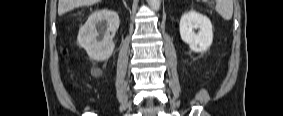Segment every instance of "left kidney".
Instances as JSON below:
<instances>
[{
  "label": "left kidney",
  "instance_id": "obj_1",
  "mask_svg": "<svg viewBox=\"0 0 283 116\" xmlns=\"http://www.w3.org/2000/svg\"><path fill=\"white\" fill-rule=\"evenodd\" d=\"M194 29H199L195 33ZM182 40L189 44L193 52L207 51L213 41V31L211 21L204 15L189 11L185 13L180 20L179 25Z\"/></svg>",
  "mask_w": 283,
  "mask_h": 116
}]
</instances>
